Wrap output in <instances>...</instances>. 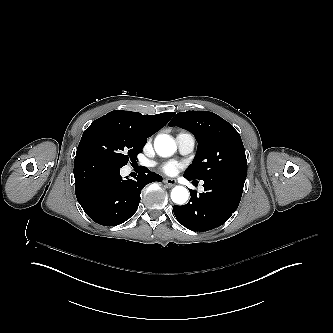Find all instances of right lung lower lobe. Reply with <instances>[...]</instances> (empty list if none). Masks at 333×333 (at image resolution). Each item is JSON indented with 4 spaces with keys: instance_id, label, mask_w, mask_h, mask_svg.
Instances as JSON below:
<instances>
[{
    "instance_id": "1",
    "label": "right lung lower lobe",
    "mask_w": 333,
    "mask_h": 333,
    "mask_svg": "<svg viewBox=\"0 0 333 333\" xmlns=\"http://www.w3.org/2000/svg\"><path fill=\"white\" fill-rule=\"evenodd\" d=\"M74 177L78 202L92 220L103 226L128 220L138 208L143 187L162 181L160 175L144 167L136 180H124L120 168L91 154H76Z\"/></svg>"
}]
</instances>
